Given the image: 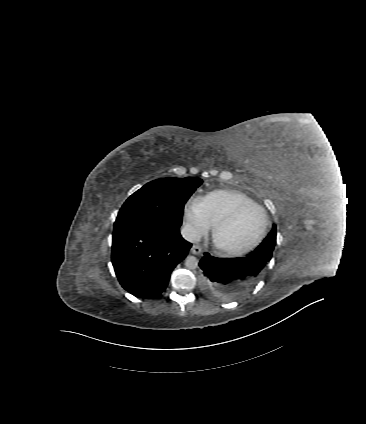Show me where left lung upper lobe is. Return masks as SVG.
<instances>
[{
  "instance_id": "1",
  "label": "left lung upper lobe",
  "mask_w": 366,
  "mask_h": 424,
  "mask_svg": "<svg viewBox=\"0 0 366 424\" xmlns=\"http://www.w3.org/2000/svg\"><path fill=\"white\" fill-rule=\"evenodd\" d=\"M276 244V225H273L271 232L264 239V241L252 252L253 256H259L267 262L271 260L272 253ZM260 277L253 280V283L258 282Z\"/></svg>"
}]
</instances>
